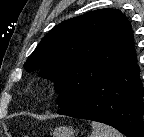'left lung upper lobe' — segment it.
I'll return each mask as SVG.
<instances>
[{
	"label": "left lung upper lobe",
	"instance_id": "5c2ea615",
	"mask_svg": "<svg viewBox=\"0 0 144 137\" xmlns=\"http://www.w3.org/2000/svg\"><path fill=\"white\" fill-rule=\"evenodd\" d=\"M132 27L116 9H99L63 21L47 33L24 67L55 81L63 108L89 92L132 52Z\"/></svg>",
	"mask_w": 144,
	"mask_h": 137
}]
</instances>
